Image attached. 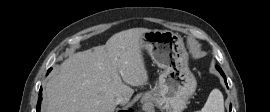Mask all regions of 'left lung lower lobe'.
<instances>
[{"label": "left lung lower lobe", "instance_id": "1", "mask_svg": "<svg viewBox=\"0 0 270 112\" xmlns=\"http://www.w3.org/2000/svg\"><path fill=\"white\" fill-rule=\"evenodd\" d=\"M217 70L221 73V75L223 76L224 80H225V83L227 85V81H226V77H225V74L223 73L222 69L219 67V66H216ZM230 112H231V105H230Z\"/></svg>", "mask_w": 270, "mask_h": 112}]
</instances>
